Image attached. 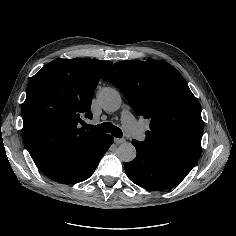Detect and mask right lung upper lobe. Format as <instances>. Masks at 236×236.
Returning a JSON list of instances; mask_svg holds the SVG:
<instances>
[{"instance_id":"obj_1","label":"right lung upper lobe","mask_w":236,"mask_h":236,"mask_svg":"<svg viewBox=\"0 0 236 236\" xmlns=\"http://www.w3.org/2000/svg\"><path fill=\"white\" fill-rule=\"evenodd\" d=\"M112 64L89 58L58 59L29 81L22 105L23 141L33 161L53 176L73 151L102 134L78 128L92 118V96L102 73Z\"/></svg>"}]
</instances>
